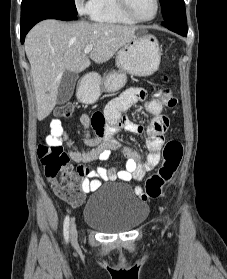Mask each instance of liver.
Masks as SVG:
<instances>
[{
	"label": "liver",
	"mask_w": 227,
	"mask_h": 279,
	"mask_svg": "<svg viewBox=\"0 0 227 279\" xmlns=\"http://www.w3.org/2000/svg\"><path fill=\"white\" fill-rule=\"evenodd\" d=\"M138 28L53 19L35 25L26 36L25 51L31 66L38 120L45 119L55 107L64 72L80 73L90 66L84 54L86 46L93 45L89 57L95 63L107 62L135 37Z\"/></svg>",
	"instance_id": "liver-1"
}]
</instances>
